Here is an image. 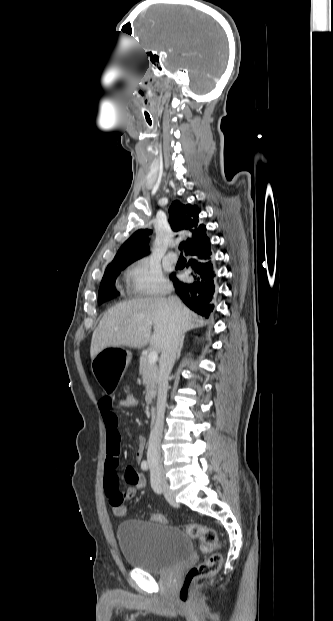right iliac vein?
Instances as JSON below:
<instances>
[{"instance_id":"obj_1","label":"right iliac vein","mask_w":333,"mask_h":621,"mask_svg":"<svg viewBox=\"0 0 333 621\" xmlns=\"http://www.w3.org/2000/svg\"><path fill=\"white\" fill-rule=\"evenodd\" d=\"M154 473L158 477V479H159V481H160V483L162 485L163 490L168 494L169 493L168 483H167V480H166V478L164 476L163 471L161 469H154Z\"/></svg>"}]
</instances>
